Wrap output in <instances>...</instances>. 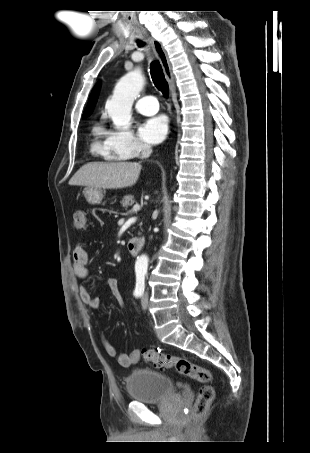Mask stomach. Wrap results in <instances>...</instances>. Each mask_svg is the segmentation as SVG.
<instances>
[{
  "instance_id": "stomach-1",
  "label": "stomach",
  "mask_w": 310,
  "mask_h": 453,
  "mask_svg": "<svg viewBox=\"0 0 310 453\" xmlns=\"http://www.w3.org/2000/svg\"><path fill=\"white\" fill-rule=\"evenodd\" d=\"M86 201L89 204H100L103 199L102 190L99 188H86L83 192Z\"/></svg>"
}]
</instances>
